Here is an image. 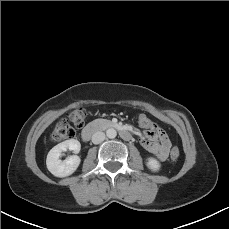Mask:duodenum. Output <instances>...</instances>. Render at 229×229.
<instances>
[{"label": "duodenum", "mask_w": 229, "mask_h": 229, "mask_svg": "<svg viewBox=\"0 0 229 229\" xmlns=\"http://www.w3.org/2000/svg\"><path fill=\"white\" fill-rule=\"evenodd\" d=\"M108 127L112 128V129L119 130L120 135H121V137L123 139H125V140H130L131 139V134L129 133V131L126 128L120 126L119 124L110 123V124H108ZM99 129H100V127L97 124H89V125H87L82 130V133H81L82 139L84 141L90 140L91 137L99 131Z\"/></svg>", "instance_id": "1"}]
</instances>
